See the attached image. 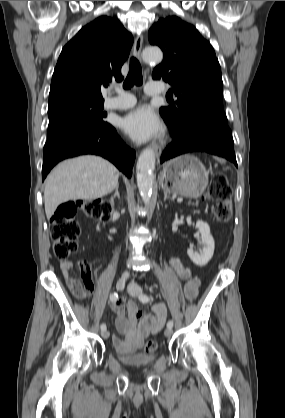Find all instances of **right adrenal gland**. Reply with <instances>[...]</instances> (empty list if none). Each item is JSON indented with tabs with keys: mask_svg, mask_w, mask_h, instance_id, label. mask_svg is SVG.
Listing matches in <instances>:
<instances>
[{
	"mask_svg": "<svg viewBox=\"0 0 285 418\" xmlns=\"http://www.w3.org/2000/svg\"><path fill=\"white\" fill-rule=\"evenodd\" d=\"M120 199V194H119V183L117 184L116 188H115V193L111 196V202L114 203V199L115 198Z\"/></svg>",
	"mask_w": 285,
	"mask_h": 418,
	"instance_id": "1",
	"label": "right adrenal gland"
}]
</instances>
